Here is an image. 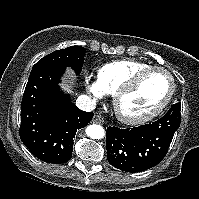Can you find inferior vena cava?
I'll return each instance as SVG.
<instances>
[{
    "label": "inferior vena cava",
    "instance_id": "inferior-vena-cava-1",
    "mask_svg": "<svg viewBox=\"0 0 199 199\" xmlns=\"http://www.w3.org/2000/svg\"><path fill=\"white\" fill-rule=\"evenodd\" d=\"M76 106L83 111H92L96 108V100L86 95H81L76 100Z\"/></svg>",
    "mask_w": 199,
    "mask_h": 199
}]
</instances>
